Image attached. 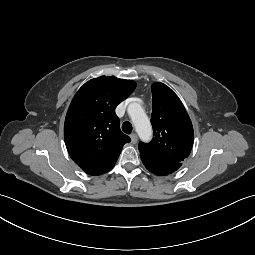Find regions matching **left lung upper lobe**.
I'll list each match as a JSON object with an SVG mask.
<instances>
[{
  "instance_id": "left-lung-upper-lobe-1",
  "label": "left lung upper lobe",
  "mask_w": 255,
  "mask_h": 255,
  "mask_svg": "<svg viewBox=\"0 0 255 255\" xmlns=\"http://www.w3.org/2000/svg\"><path fill=\"white\" fill-rule=\"evenodd\" d=\"M153 139L140 142L141 160L157 167L181 166L189 156L194 132L191 120L179 97L165 84L152 85Z\"/></svg>"
}]
</instances>
